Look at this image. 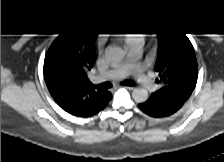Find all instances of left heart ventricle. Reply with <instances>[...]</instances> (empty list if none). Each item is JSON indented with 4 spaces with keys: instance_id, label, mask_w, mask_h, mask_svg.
I'll list each match as a JSON object with an SVG mask.
<instances>
[{
    "instance_id": "b2bd125f",
    "label": "left heart ventricle",
    "mask_w": 224,
    "mask_h": 162,
    "mask_svg": "<svg viewBox=\"0 0 224 162\" xmlns=\"http://www.w3.org/2000/svg\"><path fill=\"white\" fill-rule=\"evenodd\" d=\"M128 56L123 60L122 64H124L127 61Z\"/></svg>"
}]
</instances>
